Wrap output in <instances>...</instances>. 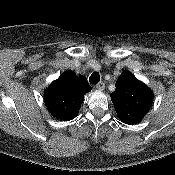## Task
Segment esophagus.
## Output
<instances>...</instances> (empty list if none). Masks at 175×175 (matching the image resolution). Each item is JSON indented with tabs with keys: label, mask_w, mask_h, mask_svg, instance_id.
Returning <instances> with one entry per match:
<instances>
[{
	"label": "esophagus",
	"mask_w": 175,
	"mask_h": 175,
	"mask_svg": "<svg viewBox=\"0 0 175 175\" xmlns=\"http://www.w3.org/2000/svg\"><path fill=\"white\" fill-rule=\"evenodd\" d=\"M96 89L99 91H102L105 89V84L103 82H100L96 85Z\"/></svg>",
	"instance_id": "34e87169"
}]
</instances>
